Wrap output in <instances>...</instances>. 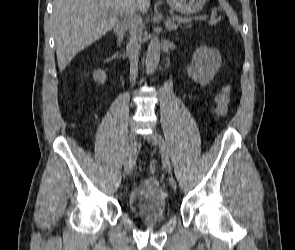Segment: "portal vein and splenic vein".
Wrapping results in <instances>:
<instances>
[{"instance_id": "1", "label": "portal vein and splenic vein", "mask_w": 295, "mask_h": 250, "mask_svg": "<svg viewBox=\"0 0 295 250\" xmlns=\"http://www.w3.org/2000/svg\"><path fill=\"white\" fill-rule=\"evenodd\" d=\"M172 19H173V20H180L181 22H189V20H187V19H186V20H185V19L182 20V19H179V18L176 17V16H172Z\"/></svg>"}]
</instances>
